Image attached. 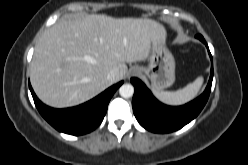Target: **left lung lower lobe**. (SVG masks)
Segmentation results:
<instances>
[{
    "label": "left lung lower lobe",
    "mask_w": 248,
    "mask_h": 165,
    "mask_svg": "<svg viewBox=\"0 0 248 165\" xmlns=\"http://www.w3.org/2000/svg\"><path fill=\"white\" fill-rule=\"evenodd\" d=\"M207 47L211 58V75L202 95L195 100L178 107L160 103L137 78H131L135 92L132 100L133 112L142 127L155 133L176 131L192 121L205 106L211 91L213 79V60L208 45L202 35H196Z\"/></svg>",
    "instance_id": "1"
}]
</instances>
